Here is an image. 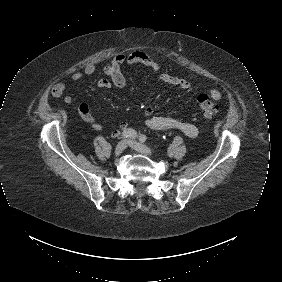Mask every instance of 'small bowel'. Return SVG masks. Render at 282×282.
<instances>
[{"mask_svg":"<svg viewBox=\"0 0 282 282\" xmlns=\"http://www.w3.org/2000/svg\"><path fill=\"white\" fill-rule=\"evenodd\" d=\"M124 65H141L149 68L153 72H159L161 70L160 64L150 57L148 54L135 51L129 54L120 53L116 55L104 68V72L108 79H100L97 82L98 89H108L112 86L122 88L126 85V80L121 73V67ZM96 71L94 64H88L82 71L75 72L71 76L72 81H80L86 76L92 75ZM160 82L177 87L181 90H189L191 83L189 80L181 77H177L167 73H160L158 76ZM66 87L63 83H57L51 88V95L55 98L64 95ZM210 96L213 100H219L221 93L217 89L210 91ZM66 104H72L73 98L69 95L64 97ZM81 118L89 123L95 130L103 129V125L92 114L90 107L87 103L82 102L78 107ZM144 123L148 128L154 130H177L185 134L190 138H196L199 135L197 126L187 121L175 118L172 116H159L154 113L152 107H147L143 114ZM129 127L127 121H123L112 132V136L117 137Z\"/></svg>","mask_w":282,"mask_h":282,"instance_id":"1","label":"small bowel"}]
</instances>
